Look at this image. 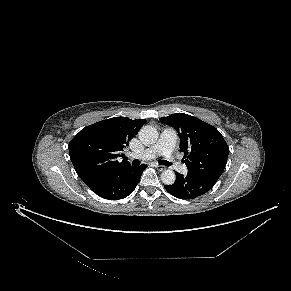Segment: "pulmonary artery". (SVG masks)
<instances>
[{
  "label": "pulmonary artery",
  "mask_w": 291,
  "mask_h": 291,
  "mask_svg": "<svg viewBox=\"0 0 291 291\" xmlns=\"http://www.w3.org/2000/svg\"><path fill=\"white\" fill-rule=\"evenodd\" d=\"M177 143V134L173 129H165L162 131L159 140L152 146L141 152L138 157L144 160L164 156L172 166L179 172L185 173L187 168L181 164L173 155Z\"/></svg>",
  "instance_id": "obj_1"
}]
</instances>
